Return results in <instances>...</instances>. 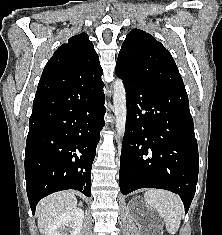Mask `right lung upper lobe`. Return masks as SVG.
<instances>
[{"label": "right lung upper lobe", "mask_w": 222, "mask_h": 235, "mask_svg": "<svg viewBox=\"0 0 222 235\" xmlns=\"http://www.w3.org/2000/svg\"><path fill=\"white\" fill-rule=\"evenodd\" d=\"M102 74L99 57L86 33L71 37L47 62L40 83L71 84Z\"/></svg>", "instance_id": "obj_1"}]
</instances>
